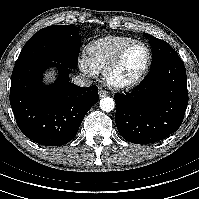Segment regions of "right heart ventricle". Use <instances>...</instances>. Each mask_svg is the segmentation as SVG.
Wrapping results in <instances>:
<instances>
[{
    "label": "right heart ventricle",
    "instance_id": "e07e8e85",
    "mask_svg": "<svg viewBox=\"0 0 199 199\" xmlns=\"http://www.w3.org/2000/svg\"><path fill=\"white\" fill-rule=\"evenodd\" d=\"M134 41L127 36H107L90 43L87 53L95 67L104 70L125 46Z\"/></svg>",
    "mask_w": 199,
    "mask_h": 199
}]
</instances>
